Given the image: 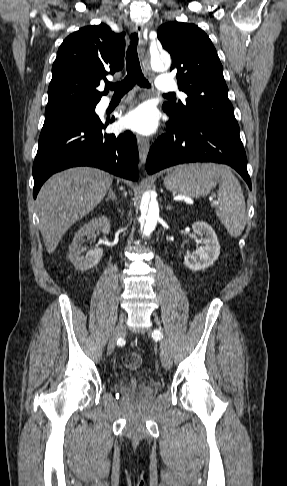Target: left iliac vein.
<instances>
[{
    "label": "left iliac vein",
    "mask_w": 287,
    "mask_h": 486,
    "mask_svg": "<svg viewBox=\"0 0 287 486\" xmlns=\"http://www.w3.org/2000/svg\"><path fill=\"white\" fill-rule=\"evenodd\" d=\"M159 324V321L156 320ZM156 337H158L161 341V348H162V365L165 369L169 370L172 367V359L170 353V346L169 342L166 337L163 336L162 331L160 328L154 331Z\"/></svg>",
    "instance_id": "left-iliac-vein-1"
}]
</instances>
